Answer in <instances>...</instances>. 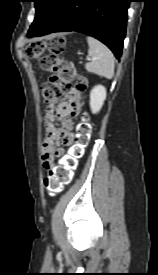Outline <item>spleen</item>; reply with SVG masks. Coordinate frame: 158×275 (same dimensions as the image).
<instances>
[{
    "label": "spleen",
    "instance_id": "1",
    "mask_svg": "<svg viewBox=\"0 0 158 275\" xmlns=\"http://www.w3.org/2000/svg\"><path fill=\"white\" fill-rule=\"evenodd\" d=\"M88 55L92 62L87 63L85 68L88 72L111 79L114 75V55L103 43L88 36Z\"/></svg>",
    "mask_w": 158,
    "mask_h": 275
}]
</instances>
